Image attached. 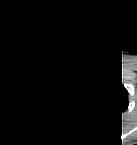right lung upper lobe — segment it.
Listing matches in <instances>:
<instances>
[{"instance_id": "right-lung-upper-lobe-1", "label": "right lung upper lobe", "mask_w": 137, "mask_h": 145, "mask_svg": "<svg viewBox=\"0 0 137 145\" xmlns=\"http://www.w3.org/2000/svg\"><path fill=\"white\" fill-rule=\"evenodd\" d=\"M59 90L48 76L38 74L25 86L17 99V107L24 117L40 116L52 106Z\"/></svg>"}]
</instances>
